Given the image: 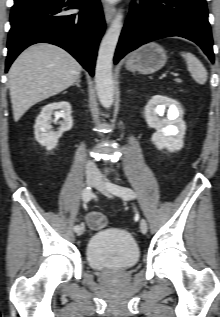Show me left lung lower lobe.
<instances>
[{
  "label": "left lung lower lobe",
  "mask_w": 220,
  "mask_h": 317,
  "mask_svg": "<svg viewBox=\"0 0 220 317\" xmlns=\"http://www.w3.org/2000/svg\"><path fill=\"white\" fill-rule=\"evenodd\" d=\"M180 36L197 43L214 62L205 0H140L123 28L114 61L149 41Z\"/></svg>",
  "instance_id": "1"
}]
</instances>
